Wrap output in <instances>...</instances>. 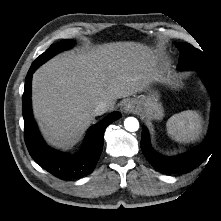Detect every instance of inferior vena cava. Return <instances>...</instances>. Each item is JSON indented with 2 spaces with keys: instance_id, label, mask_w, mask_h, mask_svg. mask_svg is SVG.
I'll list each match as a JSON object with an SVG mask.
<instances>
[{
  "instance_id": "1",
  "label": "inferior vena cava",
  "mask_w": 221,
  "mask_h": 221,
  "mask_svg": "<svg viewBox=\"0 0 221 221\" xmlns=\"http://www.w3.org/2000/svg\"><path fill=\"white\" fill-rule=\"evenodd\" d=\"M110 108V105L107 102H99V104L95 107L93 113L95 116L102 115L106 113Z\"/></svg>"
}]
</instances>
